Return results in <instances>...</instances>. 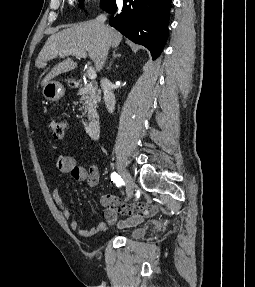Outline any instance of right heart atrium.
I'll use <instances>...</instances> for the list:
<instances>
[{
	"instance_id": "right-heart-atrium-1",
	"label": "right heart atrium",
	"mask_w": 255,
	"mask_h": 287,
	"mask_svg": "<svg viewBox=\"0 0 255 287\" xmlns=\"http://www.w3.org/2000/svg\"><path fill=\"white\" fill-rule=\"evenodd\" d=\"M66 48H78V47H66Z\"/></svg>"
}]
</instances>
